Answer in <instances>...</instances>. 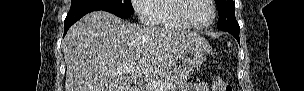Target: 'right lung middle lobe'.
<instances>
[{"label": "right lung middle lobe", "mask_w": 304, "mask_h": 91, "mask_svg": "<svg viewBox=\"0 0 304 91\" xmlns=\"http://www.w3.org/2000/svg\"><path fill=\"white\" fill-rule=\"evenodd\" d=\"M84 3L107 8L111 13L121 18H128L134 12L131 0H72L71 6Z\"/></svg>", "instance_id": "right-lung-middle-lobe-1"}]
</instances>
